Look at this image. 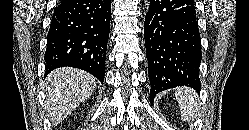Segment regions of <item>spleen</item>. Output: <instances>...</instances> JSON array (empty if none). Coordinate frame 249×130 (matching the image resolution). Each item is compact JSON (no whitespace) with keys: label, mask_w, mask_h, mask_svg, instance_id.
Instances as JSON below:
<instances>
[{"label":"spleen","mask_w":249,"mask_h":130,"mask_svg":"<svg viewBox=\"0 0 249 130\" xmlns=\"http://www.w3.org/2000/svg\"><path fill=\"white\" fill-rule=\"evenodd\" d=\"M175 95L181 109V118L184 121L194 120L199 111L196 92L191 88L181 87L177 88Z\"/></svg>","instance_id":"3e777b00"}]
</instances>
